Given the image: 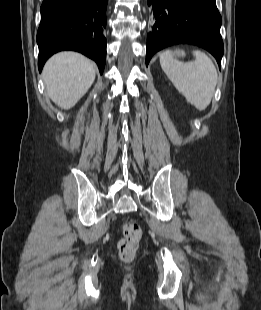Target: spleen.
I'll return each mask as SVG.
<instances>
[{
	"mask_svg": "<svg viewBox=\"0 0 261 310\" xmlns=\"http://www.w3.org/2000/svg\"><path fill=\"white\" fill-rule=\"evenodd\" d=\"M194 61L179 62L172 51L160 54V64L175 88L199 111L210 104L217 84V71L212 60L200 51H194Z\"/></svg>",
	"mask_w": 261,
	"mask_h": 310,
	"instance_id": "obj_1",
	"label": "spleen"
}]
</instances>
